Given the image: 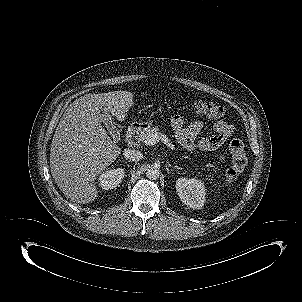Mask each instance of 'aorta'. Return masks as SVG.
<instances>
[{"mask_svg": "<svg viewBox=\"0 0 302 302\" xmlns=\"http://www.w3.org/2000/svg\"><path fill=\"white\" fill-rule=\"evenodd\" d=\"M146 176L149 178V179H157L159 178L160 176V168L159 166L157 165H151L147 168L146 170Z\"/></svg>", "mask_w": 302, "mask_h": 302, "instance_id": "aorta-1", "label": "aorta"}]
</instances>
